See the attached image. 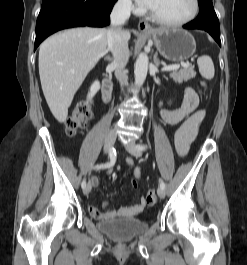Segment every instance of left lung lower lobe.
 I'll return each instance as SVG.
<instances>
[{"label": "left lung lower lobe", "mask_w": 247, "mask_h": 265, "mask_svg": "<svg viewBox=\"0 0 247 265\" xmlns=\"http://www.w3.org/2000/svg\"><path fill=\"white\" fill-rule=\"evenodd\" d=\"M200 12L195 20L184 25L185 29H201L207 31L221 46L220 26L214 11L212 0H198Z\"/></svg>", "instance_id": "1"}]
</instances>
